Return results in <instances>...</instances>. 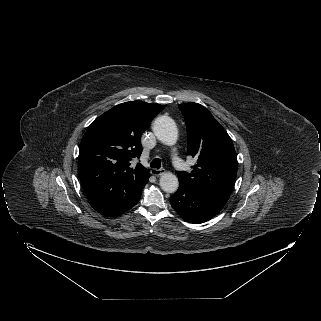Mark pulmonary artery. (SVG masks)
<instances>
[{"label":"pulmonary artery","mask_w":321,"mask_h":321,"mask_svg":"<svg viewBox=\"0 0 321 321\" xmlns=\"http://www.w3.org/2000/svg\"><path fill=\"white\" fill-rule=\"evenodd\" d=\"M173 165L176 170L183 171L184 170V163L178 156L173 157Z\"/></svg>","instance_id":"e3ab8cb5"}]
</instances>
